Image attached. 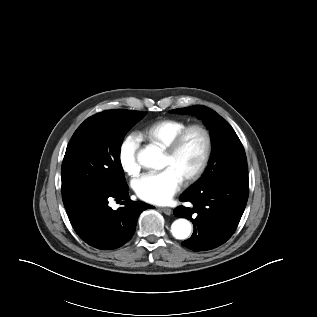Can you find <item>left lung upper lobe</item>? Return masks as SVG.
<instances>
[{"label":"left lung upper lobe","instance_id":"obj_1","mask_svg":"<svg viewBox=\"0 0 317 317\" xmlns=\"http://www.w3.org/2000/svg\"><path fill=\"white\" fill-rule=\"evenodd\" d=\"M201 118L210 129L212 154L203 176L189 189L221 182L232 177H247V160L241 141L233 128L212 109L196 105L172 110Z\"/></svg>","mask_w":317,"mask_h":317}]
</instances>
